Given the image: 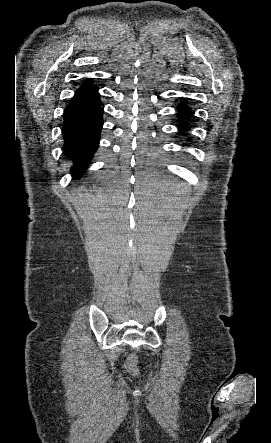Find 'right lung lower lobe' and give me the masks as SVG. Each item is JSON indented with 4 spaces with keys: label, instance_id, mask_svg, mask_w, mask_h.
I'll list each match as a JSON object with an SVG mask.
<instances>
[{
    "label": "right lung lower lobe",
    "instance_id": "98d812e1",
    "mask_svg": "<svg viewBox=\"0 0 271 443\" xmlns=\"http://www.w3.org/2000/svg\"><path fill=\"white\" fill-rule=\"evenodd\" d=\"M91 80L83 83L64 111L65 156L74 163L71 173L80 177L98 148L103 125V108L98 87Z\"/></svg>",
    "mask_w": 271,
    "mask_h": 443
}]
</instances>
